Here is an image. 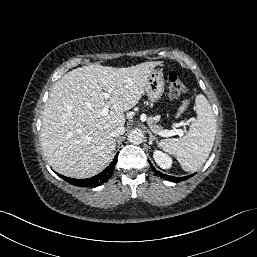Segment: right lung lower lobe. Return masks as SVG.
<instances>
[{"label":"right lung lower lobe","instance_id":"obj_1","mask_svg":"<svg viewBox=\"0 0 257 257\" xmlns=\"http://www.w3.org/2000/svg\"><path fill=\"white\" fill-rule=\"evenodd\" d=\"M117 156H118V153L116 154L115 158L113 159L111 164L106 169H104L101 173H99L98 175H96L92 178L73 179V178H68V177L62 176V175H59V176L61 178H63L65 181H67L68 183L75 185V186L97 187V186L103 184L104 182H106L112 175L115 165L117 163Z\"/></svg>","mask_w":257,"mask_h":257}]
</instances>
